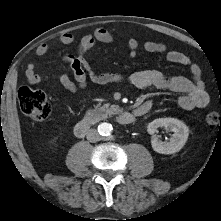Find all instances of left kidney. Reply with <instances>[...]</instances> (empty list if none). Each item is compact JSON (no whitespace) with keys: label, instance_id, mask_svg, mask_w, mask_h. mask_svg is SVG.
Masks as SVG:
<instances>
[{"label":"left kidney","instance_id":"1","mask_svg":"<svg viewBox=\"0 0 221 221\" xmlns=\"http://www.w3.org/2000/svg\"><path fill=\"white\" fill-rule=\"evenodd\" d=\"M159 127H168L173 132L170 141H161L154 135ZM149 134L153 135L151 145L154 151L160 154H173L179 152L185 145L188 136V127L180 120L175 118H159L153 120L147 126Z\"/></svg>","mask_w":221,"mask_h":221}]
</instances>
